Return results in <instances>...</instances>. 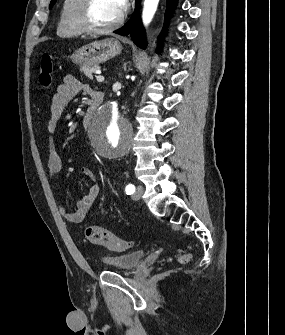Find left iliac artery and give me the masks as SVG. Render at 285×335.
<instances>
[{"label": "left iliac artery", "instance_id": "1", "mask_svg": "<svg viewBox=\"0 0 285 335\" xmlns=\"http://www.w3.org/2000/svg\"><path fill=\"white\" fill-rule=\"evenodd\" d=\"M125 191H126L127 195H131L135 192V186L132 185V184H129V185L126 186Z\"/></svg>", "mask_w": 285, "mask_h": 335}]
</instances>
